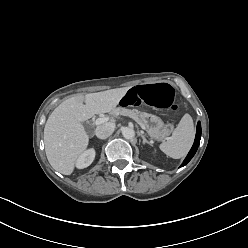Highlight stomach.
<instances>
[{"instance_id":"stomach-1","label":"stomach","mask_w":248,"mask_h":248,"mask_svg":"<svg viewBox=\"0 0 248 248\" xmlns=\"http://www.w3.org/2000/svg\"><path fill=\"white\" fill-rule=\"evenodd\" d=\"M134 119L138 123L143 122L148 135L156 141L165 140L173 130L171 123H164L160 117L153 114L139 111L135 114Z\"/></svg>"}]
</instances>
